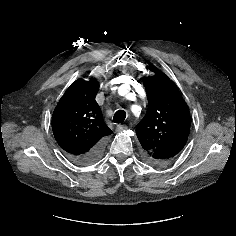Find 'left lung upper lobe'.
I'll list each match as a JSON object with an SVG mask.
<instances>
[{
	"label": "left lung upper lobe",
	"instance_id": "1",
	"mask_svg": "<svg viewBox=\"0 0 236 236\" xmlns=\"http://www.w3.org/2000/svg\"><path fill=\"white\" fill-rule=\"evenodd\" d=\"M149 69L156 73L143 77L148 108L136 127V134L145 161L162 166L170 163L185 146L191 117L176 84L155 66L149 65Z\"/></svg>",
	"mask_w": 236,
	"mask_h": 236
}]
</instances>
